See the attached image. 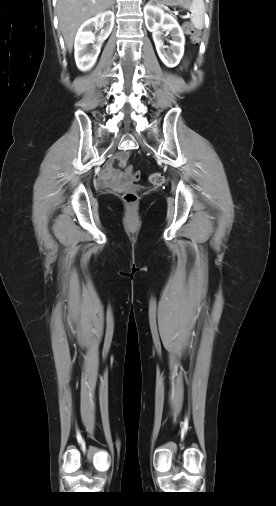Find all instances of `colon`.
Listing matches in <instances>:
<instances>
[{"instance_id": "obj_1", "label": "colon", "mask_w": 276, "mask_h": 506, "mask_svg": "<svg viewBox=\"0 0 276 506\" xmlns=\"http://www.w3.org/2000/svg\"><path fill=\"white\" fill-rule=\"evenodd\" d=\"M183 29L185 34L189 36V38L192 40L193 43L199 42L200 33L196 29H194L191 24L185 23ZM127 172L131 174L133 181H138L140 179L139 170H135L132 167H127ZM164 181H165L164 176L159 172L152 173L149 176V182L155 186L162 185ZM122 199L126 204L134 206L138 201V195L134 191H127L122 195Z\"/></svg>"}]
</instances>
